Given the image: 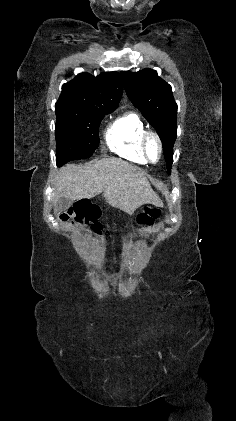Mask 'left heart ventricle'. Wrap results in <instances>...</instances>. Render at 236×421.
I'll list each match as a JSON object with an SVG mask.
<instances>
[{"label":"left heart ventricle","mask_w":236,"mask_h":421,"mask_svg":"<svg viewBox=\"0 0 236 421\" xmlns=\"http://www.w3.org/2000/svg\"><path fill=\"white\" fill-rule=\"evenodd\" d=\"M149 156L152 161L159 159V147L155 140H151L149 143Z\"/></svg>","instance_id":"1"}]
</instances>
